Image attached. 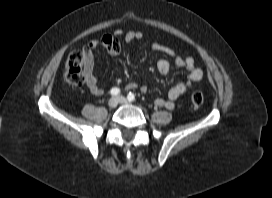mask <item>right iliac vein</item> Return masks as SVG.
<instances>
[{
    "instance_id": "right-iliac-vein-1",
    "label": "right iliac vein",
    "mask_w": 272,
    "mask_h": 198,
    "mask_svg": "<svg viewBox=\"0 0 272 198\" xmlns=\"http://www.w3.org/2000/svg\"><path fill=\"white\" fill-rule=\"evenodd\" d=\"M118 102L119 101H118V99L116 97H112V98L109 99L108 105H109L110 108H115V107H117Z\"/></svg>"
}]
</instances>
